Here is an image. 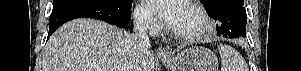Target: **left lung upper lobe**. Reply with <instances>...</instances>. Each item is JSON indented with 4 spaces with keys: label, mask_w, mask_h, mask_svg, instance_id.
Here are the masks:
<instances>
[{
    "label": "left lung upper lobe",
    "mask_w": 301,
    "mask_h": 71,
    "mask_svg": "<svg viewBox=\"0 0 301 71\" xmlns=\"http://www.w3.org/2000/svg\"><path fill=\"white\" fill-rule=\"evenodd\" d=\"M201 2L205 5L209 14L214 13L219 6L228 2H235L244 5V0H201Z\"/></svg>",
    "instance_id": "5c2ea615"
}]
</instances>
